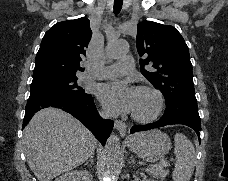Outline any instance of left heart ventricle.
Here are the masks:
<instances>
[{
    "label": "left heart ventricle",
    "mask_w": 228,
    "mask_h": 181,
    "mask_svg": "<svg viewBox=\"0 0 228 181\" xmlns=\"http://www.w3.org/2000/svg\"><path fill=\"white\" fill-rule=\"evenodd\" d=\"M121 76V72H116L113 75L117 81H122ZM154 106L155 98L150 92L145 90L137 91L134 98V109L136 113L140 115H148L153 110Z\"/></svg>",
    "instance_id": "1"
}]
</instances>
